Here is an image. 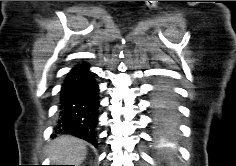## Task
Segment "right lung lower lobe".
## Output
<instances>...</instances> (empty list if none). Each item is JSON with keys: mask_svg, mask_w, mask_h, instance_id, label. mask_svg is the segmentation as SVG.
<instances>
[{"mask_svg": "<svg viewBox=\"0 0 236 166\" xmlns=\"http://www.w3.org/2000/svg\"><path fill=\"white\" fill-rule=\"evenodd\" d=\"M89 65L75 66L67 75L61 91L57 133L70 134L96 146L99 87Z\"/></svg>", "mask_w": 236, "mask_h": 166, "instance_id": "right-lung-lower-lobe-1", "label": "right lung lower lobe"}]
</instances>
